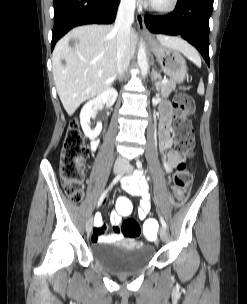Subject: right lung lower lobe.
Listing matches in <instances>:
<instances>
[{
	"mask_svg": "<svg viewBox=\"0 0 247 304\" xmlns=\"http://www.w3.org/2000/svg\"><path fill=\"white\" fill-rule=\"evenodd\" d=\"M120 0H54V28L51 42H56L71 28L84 24H110L115 20Z\"/></svg>",
	"mask_w": 247,
	"mask_h": 304,
	"instance_id": "obj_1",
	"label": "right lung lower lobe"
}]
</instances>
